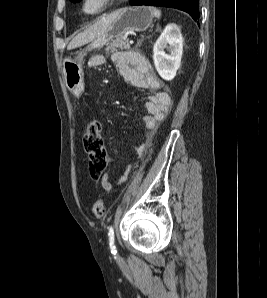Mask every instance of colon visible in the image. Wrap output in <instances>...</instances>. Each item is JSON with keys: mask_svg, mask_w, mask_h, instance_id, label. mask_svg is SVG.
I'll return each instance as SVG.
<instances>
[{"mask_svg": "<svg viewBox=\"0 0 267 298\" xmlns=\"http://www.w3.org/2000/svg\"><path fill=\"white\" fill-rule=\"evenodd\" d=\"M83 143L88 156L90 175L93 179L98 180L106 168L108 155L102 139L100 124L96 120L88 122ZM92 211L96 218H103L106 212L104 201L97 200Z\"/></svg>", "mask_w": 267, "mask_h": 298, "instance_id": "1", "label": "colon"}]
</instances>
